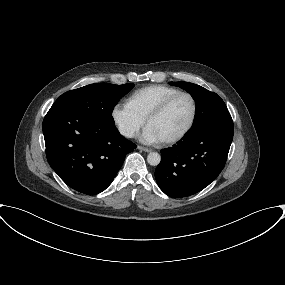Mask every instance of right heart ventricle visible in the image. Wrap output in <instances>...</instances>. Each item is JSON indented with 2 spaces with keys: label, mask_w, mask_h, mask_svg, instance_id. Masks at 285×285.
Segmentation results:
<instances>
[{
  "label": "right heart ventricle",
  "mask_w": 285,
  "mask_h": 285,
  "mask_svg": "<svg viewBox=\"0 0 285 285\" xmlns=\"http://www.w3.org/2000/svg\"><path fill=\"white\" fill-rule=\"evenodd\" d=\"M177 92H179V90L174 87L149 85L133 92L129 97V103L134 110L146 120L151 111L165 99Z\"/></svg>",
  "instance_id": "e07e8e85"
}]
</instances>
